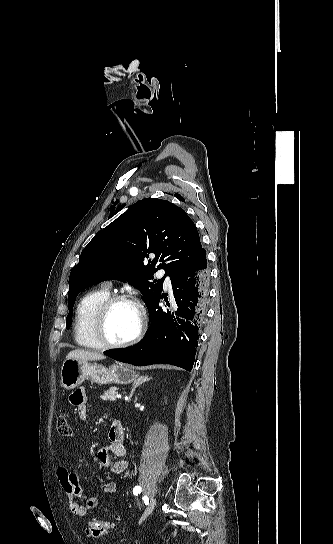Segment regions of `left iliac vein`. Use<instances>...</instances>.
I'll use <instances>...</instances> for the list:
<instances>
[{"instance_id": "obj_1", "label": "left iliac vein", "mask_w": 333, "mask_h": 544, "mask_svg": "<svg viewBox=\"0 0 333 544\" xmlns=\"http://www.w3.org/2000/svg\"><path fill=\"white\" fill-rule=\"evenodd\" d=\"M156 503H157L156 498H152L151 502L149 503V505L145 509V511H144V513H143V515H142V517L140 519V523L143 522L152 513V511L154 510V508L156 506Z\"/></svg>"}]
</instances>
